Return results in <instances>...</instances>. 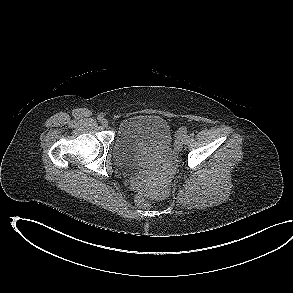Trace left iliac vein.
Here are the masks:
<instances>
[{
    "instance_id": "obj_1",
    "label": "left iliac vein",
    "mask_w": 293,
    "mask_h": 293,
    "mask_svg": "<svg viewBox=\"0 0 293 293\" xmlns=\"http://www.w3.org/2000/svg\"><path fill=\"white\" fill-rule=\"evenodd\" d=\"M188 141H189V136H186V137L182 140L183 144H187Z\"/></svg>"
}]
</instances>
